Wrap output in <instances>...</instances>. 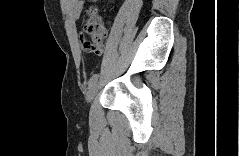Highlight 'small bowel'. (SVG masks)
I'll return each instance as SVG.
<instances>
[{
    "label": "small bowel",
    "instance_id": "1",
    "mask_svg": "<svg viewBox=\"0 0 239 156\" xmlns=\"http://www.w3.org/2000/svg\"><path fill=\"white\" fill-rule=\"evenodd\" d=\"M82 4L83 2L81 0H72L69 3V10L76 18H78L79 16ZM84 42H85V39L82 36H80V43L82 47ZM103 50H104V46L101 44L98 46V48L94 52H92V54H96V55L101 54Z\"/></svg>",
    "mask_w": 239,
    "mask_h": 156
}]
</instances>
